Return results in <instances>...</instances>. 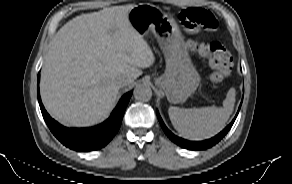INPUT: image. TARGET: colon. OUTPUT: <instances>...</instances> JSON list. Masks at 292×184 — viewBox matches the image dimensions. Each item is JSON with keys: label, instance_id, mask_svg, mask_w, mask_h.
Segmentation results:
<instances>
[{"label": "colon", "instance_id": "obj_1", "mask_svg": "<svg viewBox=\"0 0 292 184\" xmlns=\"http://www.w3.org/2000/svg\"><path fill=\"white\" fill-rule=\"evenodd\" d=\"M179 19L183 26L190 31L197 30L200 27L209 29L217 27V21L213 14L202 8L183 10ZM190 48L208 60L213 69L210 74L211 82L219 83L228 75L232 67V57L222 44L218 42H192Z\"/></svg>", "mask_w": 292, "mask_h": 184}]
</instances>
